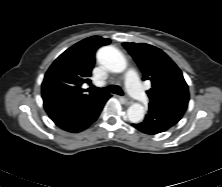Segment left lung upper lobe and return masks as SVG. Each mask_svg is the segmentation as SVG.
Masks as SVG:
<instances>
[{
    "mask_svg": "<svg viewBox=\"0 0 222 187\" xmlns=\"http://www.w3.org/2000/svg\"><path fill=\"white\" fill-rule=\"evenodd\" d=\"M143 73L151 82L147 91L150 103L189 101L188 85L181 70L162 50L145 43H123Z\"/></svg>",
    "mask_w": 222,
    "mask_h": 187,
    "instance_id": "5c2ea615",
    "label": "left lung upper lobe"
}]
</instances>
